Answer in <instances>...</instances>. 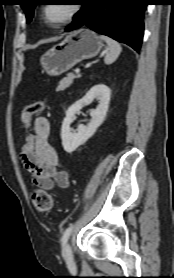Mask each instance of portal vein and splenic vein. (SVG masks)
<instances>
[{"mask_svg":"<svg viewBox=\"0 0 174 278\" xmlns=\"http://www.w3.org/2000/svg\"><path fill=\"white\" fill-rule=\"evenodd\" d=\"M79 72H80L79 68L75 69V73H79Z\"/></svg>","mask_w":174,"mask_h":278,"instance_id":"obj_1","label":"portal vein and splenic vein"}]
</instances>
